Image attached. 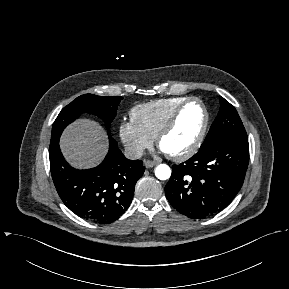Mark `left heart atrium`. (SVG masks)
<instances>
[{
    "mask_svg": "<svg viewBox=\"0 0 289 289\" xmlns=\"http://www.w3.org/2000/svg\"><path fill=\"white\" fill-rule=\"evenodd\" d=\"M161 151H162V152H164V153H166V152H165V151H163L162 149H161Z\"/></svg>",
    "mask_w": 289,
    "mask_h": 289,
    "instance_id": "1",
    "label": "left heart atrium"
}]
</instances>
